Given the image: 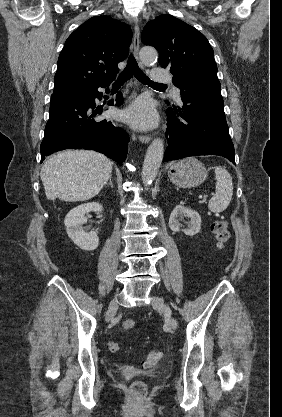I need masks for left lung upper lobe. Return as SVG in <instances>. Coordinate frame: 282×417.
<instances>
[{"mask_svg":"<svg viewBox=\"0 0 282 417\" xmlns=\"http://www.w3.org/2000/svg\"><path fill=\"white\" fill-rule=\"evenodd\" d=\"M141 40L158 50L159 63L161 67L170 69L180 94L187 86L196 83L220 87L213 49L206 37L194 27L172 15L163 14L145 25Z\"/></svg>","mask_w":282,"mask_h":417,"instance_id":"left-lung-upper-lobe-1","label":"left lung upper lobe"}]
</instances>
